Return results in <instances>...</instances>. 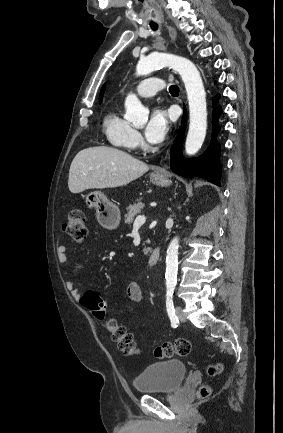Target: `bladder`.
I'll return each instance as SVG.
<instances>
[{
	"label": "bladder",
	"mask_w": 283,
	"mask_h": 433,
	"mask_svg": "<svg viewBox=\"0 0 283 433\" xmlns=\"http://www.w3.org/2000/svg\"><path fill=\"white\" fill-rule=\"evenodd\" d=\"M186 369L179 360L155 362L136 376L133 385L140 393L174 391L182 384Z\"/></svg>",
	"instance_id": "bladder-1"
}]
</instances>
